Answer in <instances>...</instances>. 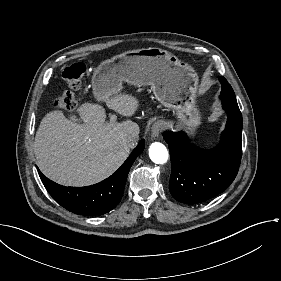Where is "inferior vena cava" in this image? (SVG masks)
Wrapping results in <instances>:
<instances>
[{"label": "inferior vena cava", "instance_id": "1", "mask_svg": "<svg viewBox=\"0 0 281 281\" xmlns=\"http://www.w3.org/2000/svg\"><path fill=\"white\" fill-rule=\"evenodd\" d=\"M138 139V135H134V134H124L121 137V140L123 143L126 144H134Z\"/></svg>", "mask_w": 281, "mask_h": 281}]
</instances>
